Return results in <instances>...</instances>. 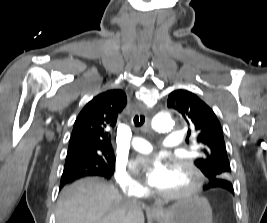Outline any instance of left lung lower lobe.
I'll use <instances>...</instances> for the list:
<instances>
[{
    "label": "left lung lower lobe",
    "mask_w": 267,
    "mask_h": 223,
    "mask_svg": "<svg viewBox=\"0 0 267 223\" xmlns=\"http://www.w3.org/2000/svg\"><path fill=\"white\" fill-rule=\"evenodd\" d=\"M207 192H214L216 190V195H233L234 190L230 181L217 180L212 181L204 187Z\"/></svg>",
    "instance_id": "1"
}]
</instances>
